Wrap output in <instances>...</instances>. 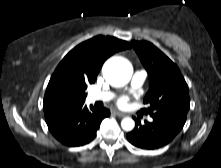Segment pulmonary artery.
I'll list each match as a JSON object with an SVG mask.
<instances>
[{
    "instance_id": "1",
    "label": "pulmonary artery",
    "mask_w": 221,
    "mask_h": 168,
    "mask_svg": "<svg viewBox=\"0 0 221 168\" xmlns=\"http://www.w3.org/2000/svg\"><path fill=\"white\" fill-rule=\"evenodd\" d=\"M146 79V72L144 70H137L131 81V85L133 88L140 87ZM114 97V94L109 91H94L89 94V100L91 102L96 101H110ZM149 121H152V118H148Z\"/></svg>"
}]
</instances>
